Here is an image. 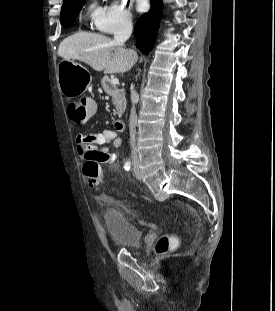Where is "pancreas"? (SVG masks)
<instances>
[{
    "label": "pancreas",
    "instance_id": "1",
    "mask_svg": "<svg viewBox=\"0 0 275 311\" xmlns=\"http://www.w3.org/2000/svg\"><path fill=\"white\" fill-rule=\"evenodd\" d=\"M102 87L106 94H108L113 101L116 108L115 114L121 116L126 109V98L123 89H118L116 85L111 83V79L108 76H104L101 80Z\"/></svg>",
    "mask_w": 275,
    "mask_h": 311
}]
</instances>
